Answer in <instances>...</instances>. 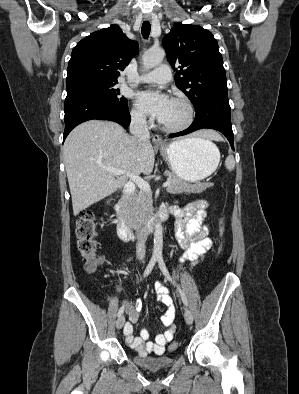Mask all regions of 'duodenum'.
<instances>
[{"instance_id":"duodenum-1","label":"duodenum","mask_w":299,"mask_h":394,"mask_svg":"<svg viewBox=\"0 0 299 394\" xmlns=\"http://www.w3.org/2000/svg\"><path fill=\"white\" fill-rule=\"evenodd\" d=\"M135 191V185L133 183H127L123 195L117 200L114 205L118 217V235L122 240H129L134 237L143 238L150 232H152L155 226L168 218V212L166 210H160L152 219H150L141 228H136L131 225L129 214L127 211V200L128 197Z\"/></svg>"}]
</instances>
